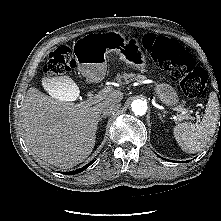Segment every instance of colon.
<instances>
[{
  "label": "colon",
  "mask_w": 221,
  "mask_h": 221,
  "mask_svg": "<svg viewBox=\"0 0 221 221\" xmlns=\"http://www.w3.org/2000/svg\"><path fill=\"white\" fill-rule=\"evenodd\" d=\"M142 43L150 52L153 61L180 83L188 98L200 100L205 96L207 74L203 68L196 65L191 54L179 43L153 33L145 34ZM75 66L72 48L69 45H61L50 54L45 74L70 73Z\"/></svg>",
  "instance_id": "5ec220e1"
}]
</instances>
